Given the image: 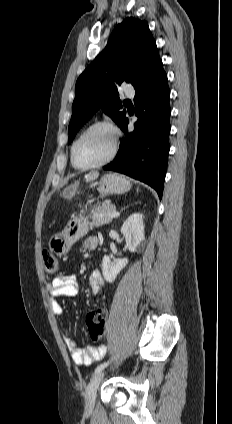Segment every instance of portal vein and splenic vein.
Returning <instances> with one entry per match:
<instances>
[{
    "label": "portal vein and splenic vein",
    "mask_w": 232,
    "mask_h": 424,
    "mask_svg": "<svg viewBox=\"0 0 232 424\" xmlns=\"http://www.w3.org/2000/svg\"><path fill=\"white\" fill-rule=\"evenodd\" d=\"M119 215V213L117 212V211H113L111 214H110V217L111 218H115V217H117Z\"/></svg>",
    "instance_id": "portal-vein-and-splenic-vein-1"
}]
</instances>
